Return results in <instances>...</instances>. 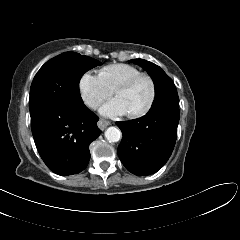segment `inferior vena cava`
<instances>
[{"label": "inferior vena cava", "mask_w": 240, "mask_h": 240, "mask_svg": "<svg viewBox=\"0 0 240 240\" xmlns=\"http://www.w3.org/2000/svg\"><path fill=\"white\" fill-rule=\"evenodd\" d=\"M88 105H89L91 108L96 109V108H98V107L100 106V101L93 99V100H90V101L88 102Z\"/></svg>", "instance_id": "602c4592"}]
</instances>
